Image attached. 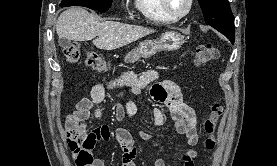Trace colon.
I'll return each instance as SVG.
<instances>
[{
	"label": "colon",
	"instance_id": "1",
	"mask_svg": "<svg viewBox=\"0 0 277 166\" xmlns=\"http://www.w3.org/2000/svg\"><path fill=\"white\" fill-rule=\"evenodd\" d=\"M64 56L70 64L76 63L81 56V49L77 43H71L64 47ZM220 51L211 44L200 45L194 50V63L198 66L205 65L211 61L218 59ZM87 66L97 71H107L108 64L96 52L88 51L86 53ZM224 113V105L222 100L216 101L210 111L209 117L204 122V131L207 135L205 139V148L212 151L217 146V138L215 136L218 122ZM86 131L81 122L74 121L66 124V137L68 145L73 152L77 166H86L91 162V158L81 152V145L85 141Z\"/></svg>",
	"mask_w": 277,
	"mask_h": 166
}]
</instances>
